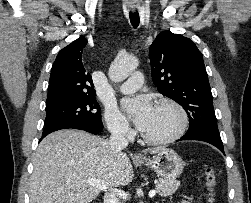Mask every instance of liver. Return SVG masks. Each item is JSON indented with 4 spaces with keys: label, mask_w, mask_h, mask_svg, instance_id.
Segmentation results:
<instances>
[{
    "label": "liver",
    "mask_w": 251,
    "mask_h": 203,
    "mask_svg": "<svg viewBox=\"0 0 251 203\" xmlns=\"http://www.w3.org/2000/svg\"><path fill=\"white\" fill-rule=\"evenodd\" d=\"M162 149L148 151L156 154ZM33 165L30 203H90L101 189L89 185L88 179L112 188L126 186L134 177L125 153L116 154L107 140L78 130H60L45 137Z\"/></svg>",
    "instance_id": "6515ba94"
}]
</instances>
